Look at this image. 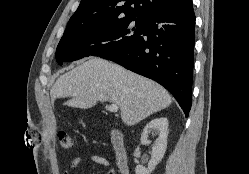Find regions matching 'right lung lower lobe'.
I'll return each instance as SVG.
<instances>
[{
	"instance_id": "98d812e1",
	"label": "right lung lower lobe",
	"mask_w": 249,
	"mask_h": 174,
	"mask_svg": "<svg viewBox=\"0 0 249 174\" xmlns=\"http://www.w3.org/2000/svg\"><path fill=\"white\" fill-rule=\"evenodd\" d=\"M195 14L192 3L155 13L126 49L104 54L126 69L155 80L176 98L186 117L191 108Z\"/></svg>"
}]
</instances>
